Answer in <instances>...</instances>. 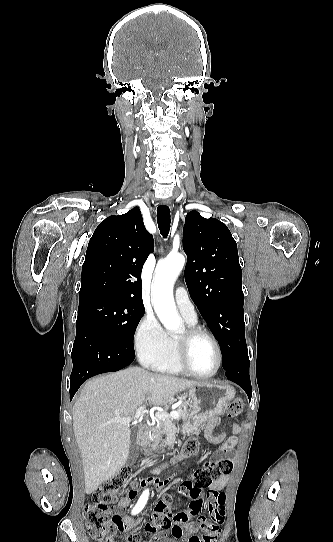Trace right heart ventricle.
<instances>
[{"label":"right heart ventricle","instance_id":"right-heart-ventricle-1","mask_svg":"<svg viewBox=\"0 0 333 542\" xmlns=\"http://www.w3.org/2000/svg\"><path fill=\"white\" fill-rule=\"evenodd\" d=\"M186 319V318H185ZM189 326H194L196 322L189 321L186 319ZM174 337L167 334V344L166 346L157 352L148 354L147 356L140 357L141 363L152 370L179 374L182 372L175 354H174Z\"/></svg>","mask_w":333,"mask_h":542}]
</instances>
